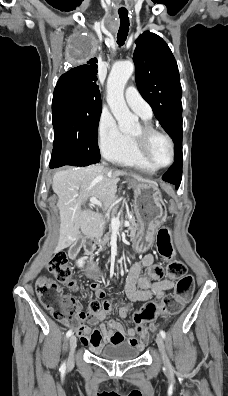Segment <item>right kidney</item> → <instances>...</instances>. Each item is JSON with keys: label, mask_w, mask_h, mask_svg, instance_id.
I'll return each mask as SVG.
<instances>
[{"label": "right kidney", "mask_w": 228, "mask_h": 396, "mask_svg": "<svg viewBox=\"0 0 228 396\" xmlns=\"http://www.w3.org/2000/svg\"><path fill=\"white\" fill-rule=\"evenodd\" d=\"M83 264H84V258H80L77 260L78 267H80V268L83 267Z\"/></svg>", "instance_id": "1"}]
</instances>
